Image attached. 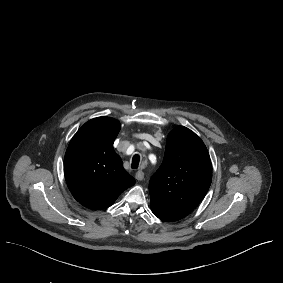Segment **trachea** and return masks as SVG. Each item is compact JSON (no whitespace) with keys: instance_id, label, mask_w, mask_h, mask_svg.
<instances>
[{"instance_id":"1","label":"trachea","mask_w":283,"mask_h":283,"mask_svg":"<svg viewBox=\"0 0 283 283\" xmlns=\"http://www.w3.org/2000/svg\"><path fill=\"white\" fill-rule=\"evenodd\" d=\"M140 162V156L138 154H135L132 158L131 168L137 169L139 167Z\"/></svg>"}]
</instances>
